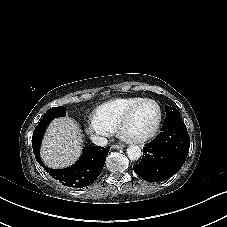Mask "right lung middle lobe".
I'll return each mask as SVG.
<instances>
[{"instance_id": "1", "label": "right lung middle lobe", "mask_w": 227, "mask_h": 227, "mask_svg": "<svg viewBox=\"0 0 227 227\" xmlns=\"http://www.w3.org/2000/svg\"><path fill=\"white\" fill-rule=\"evenodd\" d=\"M66 108L63 106L53 107L47 110L39 124H48L51 120L59 116H65Z\"/></svg>"}]
</instances>
